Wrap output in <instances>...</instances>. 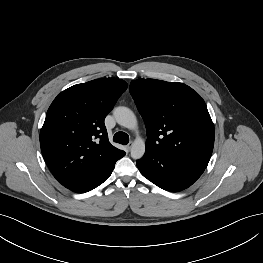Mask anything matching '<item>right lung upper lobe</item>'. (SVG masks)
I'll return each instance as SVG.
<instances>
[{
  "mask_svg": "<svg viewBox=\"0 0 263 263\" xmlns=\"http://www.w3.org/2000/svg\"><path fill=\"white\" fill-rule=\"evenodd\" d=\"M127 86L116 78L92 80L64 90L50 105L40 146L50 171L66 188L125 155L109 142L104 119Z\"/></svg>",
  "mask_w": 263,
  "mask_h": 263,
  "instance_id": "cb5924a9",
  "label": "right lung upper lobe"
}]
</instances>
